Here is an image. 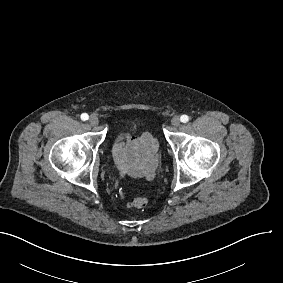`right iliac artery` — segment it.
<instances>
[{"mask_svg": "<svg viewBox=\"0 0 283 283\" xmlns=\"http://www.w3.org/2000/svg\"><path fill=\"white\" fill-rule=\"evenodd\" d=\"M88 118H89V116H88L87 113H83V114L81 115V119H82L83 121L88 120Z\"/></svg>", "mask_w": 283, "mask_h": 283, "instance_id": "82829eb1", "label": "right iliac artery"}]
</instances>
